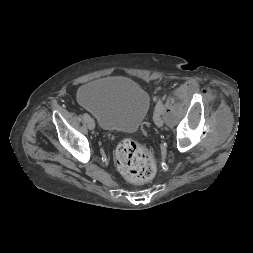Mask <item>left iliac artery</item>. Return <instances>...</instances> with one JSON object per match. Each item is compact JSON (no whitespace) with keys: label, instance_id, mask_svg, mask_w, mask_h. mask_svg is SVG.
<instances>
[{"label":"left iliac artery","instance_id":"left-iliac-artery-1","mask_svg":"<svg viewBox=\"0 0 253 253\" xmlns=\"http://www.w3.org/2000/svg\"><path fill=\"white\" fill-rule=\"evenodd\" d=\"M158 110H160L161 112L163 110V103L161 100H158V102L156 103V106H155V111H158Z\"/></svg>","mask_w":253,"mask_h":253}]
</instances>
